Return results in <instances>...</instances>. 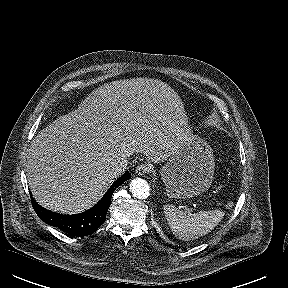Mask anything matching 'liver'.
Listing matches in <instances>:
<instances>
[{"label":"liver","instance_id":"obj_1","mask_svg":"<svg viewBox=\"0 0 288 288\" xmlns=\"http://www.w3.org/2000/svg\"><path fill=\"white\" fill-rule=\"evenodd\" d=\"M190 136L183 103L169 85L147 78L113 81L32 140L29 188L44 208L77 214L121 175L110 173L114 160L141 153L164 162Z\"/></svg>","mask_w":288,"mask_h":288}]
</instances>
